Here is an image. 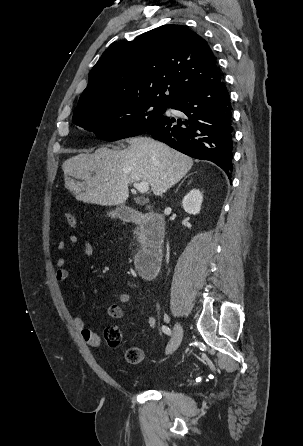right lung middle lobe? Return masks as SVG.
Returning <instances> with one entry per match:
<instances>
[{"label": "right lung middle lobe", "instance_id": "obj_1", "mask_svg": "<svg viewBox=\"0 0 303 446\" xmlns=\"http://www.w3.org/2000/svg\"><path fill=\"white\" fill-rule=\"evenodd\" d=\"M167 107L170 105L146 100L104 105L73 115V123L114 141L144 133L164 116Z\"/></svg>", "mask_w": 303, "mask_h": 446}]
</instances>
